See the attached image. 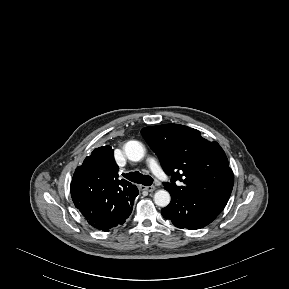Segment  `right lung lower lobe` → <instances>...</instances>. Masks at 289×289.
I'll list each match as a JSON object with an SVG mask.
<instances>
[{
	"label": "right lung lower lobe",
	"instance_id": "1",
	"mask_svg": "<svg viewBox=\"0 0 289 289\" xmlns=\"http://www.w3.org/2000/svg\"><path fill=\"white\" fill-rule=\"evenodd\" d=\"M77 184V180L73 179L70 186V192L72 200H74V205H76V194L78 195L76 192L78 189ZM131 195L132 197L118 201L111 209L104 208L99 211H88L85 210V208L84 210L80 208L79 211L91 226L102 231H109V229L117 225H122L131 214L133 209V201L138 195V189L136 186L134 187Z\"/></svg>",
	"mask_w": 289,
	"mask_h": 289
}]
</instances>
